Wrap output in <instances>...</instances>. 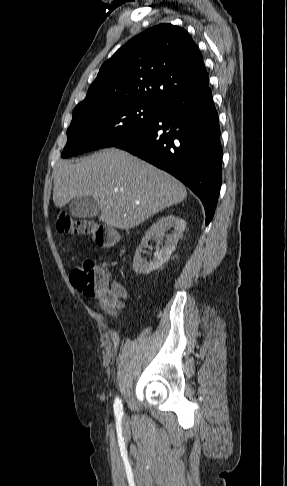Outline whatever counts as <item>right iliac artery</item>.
I'll return each mask as SVG.
<instances>
[{"mask_svg":"<svg viewBox=\"0 0 287 486\" xmlns=\"http://www.w3.org/2000/svg\"><path fill=\"white\" fill-rule=\"evenodd\" d=\"M114 412H115V415L117 417H122L123 416L122 403H121V400L118 397L115 399Z\"/></svg>","mask_w":287,"mask_h":486,"instance_id":"obj_1","label":"right iliac artery"}]
</instances>
